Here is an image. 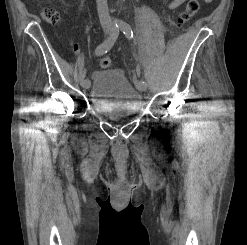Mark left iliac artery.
Instances as JSON below:
<instances>
[{"label": "left iliac artery", "mask_w": 247, "mask_h": 245, "mask_svg": "<svg viewBox=\"0 0 247 245\" xmlns=\"http://www.w3.org/2000/svg\"><path fill=\"white\" fill-rule=\"evenodd\" d=\"M119 28L127 38H129V39H133L134 38V34H133V31H132V28L128 23H126V22L120 23ZM139 84L142 85V86H147L146 82H144L143 80H141L139 82Z\"/></svg>", "instance_id": "obj_1"}]
</instances>
